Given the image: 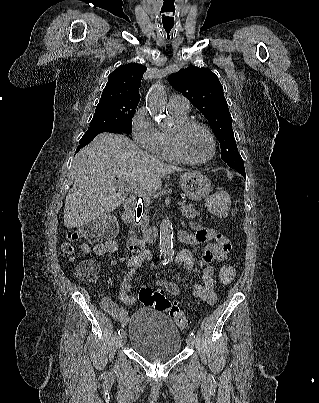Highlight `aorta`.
Returning <instances> with one entry per match:
<instances>
[{
	"instance_id": "1",
	"label": "aorta",
	"mask_w": 319,
	"mask_h": 403,
	"mask_svg": "<svg viewBox=\"0 0 319 403\" xmlns=\"http://www.w3.org/2000/svg\"><path fill=\"white\" fill-rule=\"evenodd\" d=\"M166 95L164 86L160 83L154 84L146 96V109L150 116L160 123L164 119ZM173 226L169 219L162 221L160 225V254L164 258H169L173 251Z\"/></svg>"
}]
</instances>
